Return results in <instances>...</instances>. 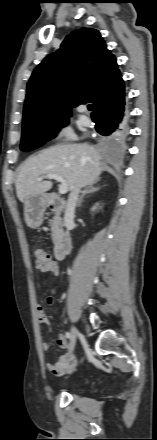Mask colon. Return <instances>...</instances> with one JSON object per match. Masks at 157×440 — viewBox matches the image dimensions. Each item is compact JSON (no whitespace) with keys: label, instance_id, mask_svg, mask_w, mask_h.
Returning <instances> with one entry per match:
<instances>
[{"label":"colon","instance_id":"5ec220e1","mask_svg":"<svg viewBox=\"0 0 157 440\" xmlns=\"http://www.w3.org/2000/svg\"><path fill=\"white\" fill-rule=\"evenodd\" d=\"M34 254L36 257V267L38 269L46 266L51 261L49 253L41 247H35Z\"/></svg>","mask_w":157,"mask_h":440}]
</instances>
